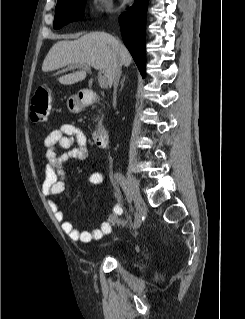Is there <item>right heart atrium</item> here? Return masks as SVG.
<instances>
[{
  "label": "right heart atrium",
  "mask_w": 245,
  "mask_h": 319,
  "mask_svg": "<svg viewBox=\"0 0 245 319\" xmlns=\"http://www.w3.org/2000/svg\"><path fill=\"white\" fill-rule=\"evenodd\" d=\"M90 11L95 15H106L113 12L112 0H90Z\"/></svg>",
  "instance_id": "1"
}]
</instances>
